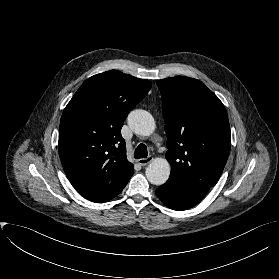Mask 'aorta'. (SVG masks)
<instances>
[{
  "mask_svg": "<svg viewBox=\"0 0 279 279\" xmlns=\"http://www.w3.org/2000/svg\"><path fill=\"white\" fill-rule=\"evenodd\" d=\"M128 124L134 133L149 136L155 130L153 116L145 110H133L128 116ZM170 164L165 158L154 159L146 168V177L151 184L162 185L170 175Z\"/></svg>",
  "mask_w": 279,
  "mask_h": 279,
  "instance_id": "aorta-1",
  "label": "aorta"
}]
</instances>
